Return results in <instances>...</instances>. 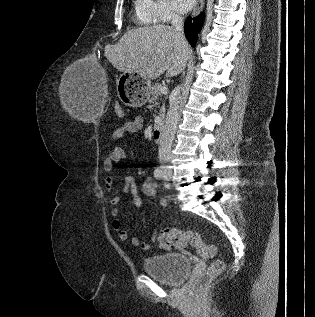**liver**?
Here are the masks:
<instances>
[{
  "label": "liver",
  "mask_w": 315,
  "mask_h": 317,
  "mask_svg": "<svg viewBox=\"0 0 315 317\" xmlns=\"http://www.w3.org/2000/svg\"><path fill=\"white\" fill-rule=\"evenodd\" d=\"M191 49L168 25L132 29L116 45L105 47L104 55L121 72L156 79L178 75L185 68Z\"/></svg>",
  "instance_id": "1"
}]
</instances>
